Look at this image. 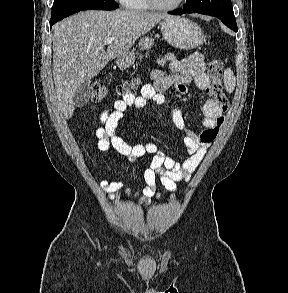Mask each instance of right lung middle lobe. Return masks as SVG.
<instances>
[{"label": "right lung middle lobe", "mask_w": 288, "mask_h": 293, "mask_svg": "<svg viewBox=\"0 0 288 293\" xmlns=\"http://www.w3.org/2000/svg\"><path fill=\"white\" fill-rule=\"evenodd\" d=\"M118 7L114 0H54L50 21L61 20L89 9L113 10Z\"/></svg>", "instance_id": "dd1d6c3e"}]
</instances>
